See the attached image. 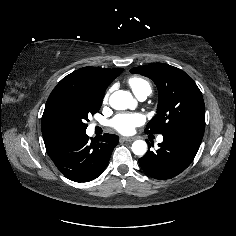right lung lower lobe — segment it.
Listing matches in <instances>:
<instances>
[{
	"mask_svg": "<svg viewBox=\"0 0 236 236\" xmlns=\"http://www.w3.org/2000/svg\"><path fill=\"white\" fill-rule=\"evenodd\" d=\"M119 142L114 134H104L96 141L86 133L68 137L47 150L56 167L75 182L97 178L106 168L111 153Z\"/></svg>",
	"mask_w": 236,
	"mask_h": 236,
	"instance_id": "1",
	"label": "right lung lower lobe"
}]
</instances>
